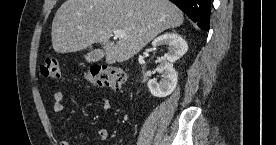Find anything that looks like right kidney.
Wrapping results in <instances>:
<instances>
[{
	"instance_id": "ca27d5eb",
	"label": "right kidney",
	"mask_w": 276,
	"mask_h": 145,
	"mask_svg": "<svg viewBox=\"0 0 276 145\" xmlns=\"http://www.w3.org/2000/svg\"><path fill=\"white\" fill-rule=\"evenodd\" d=\"M160 45L168 47V52L164 57L156 61L160 63L156 71L161 74V80L158 82L155 78L151 79L147 85L153 96L162 98L170 95L176 88L178 75L173 64L187 52L188 45L176 32L160 35L152 42L154 49Z\"/></svg>"
}]
</instances>
